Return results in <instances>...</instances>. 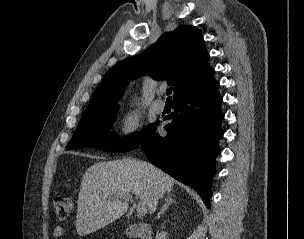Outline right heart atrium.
I'll list each match as a JSON object with an SVG mask.
<instances>
[{"instance_id":"d8ad5b80","label":"right heart atrium","mask_w":304,"mask_h":239,"mask_svg":"<svg viewBox=\"0 0 304 239\" xmlns=\"http://www.w3.org/2000/svg\"><path fill=\"white\" fill-rule=\"evenodd\" d=\"M139 123L140 117L138 113L131 110L122 116L119 122L118 132L123 138H131L136 134Z\"/></svg>"}]
</instances>
